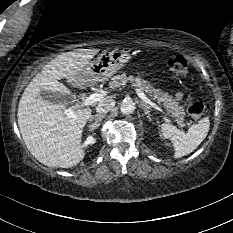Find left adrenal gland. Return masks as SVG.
<instances>
[{
	"mask_svg": "<svg viewBox=\"0 0 233 233\" xmlns=\"http://www.w3.org/2000/svg\"><path fill=\"white\" fill-rule=\"evenodd\" d=\"M140 107L143 109L147 118L151 121L150 106L146 105L144 102H140Z\"/></svg>",
	"mask_w": 233,
	"mask_h": 233,
	"instance_id": "left-adrenal-gland-1",
	"label": "left adrenal gland"
}]
</instances>
